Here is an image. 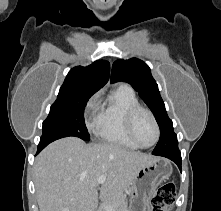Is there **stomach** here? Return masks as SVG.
<instances>
[{"mask_svg": "<svg viewBox=\"0 0 221 211\" xmlns=\"http://www.w3.org/2000/svg\"><path fill=\"white\" fill-rule=\"evenodd\" d=\"M172 174L171 164L163 158H156L142 166L130 186L128 211H147L148 203L160 183Z\"/></svg>", "mask_w": 221, "mask_h": 211, "instance_id": "0dacf381", "label": "stomach"}]
</instances>
